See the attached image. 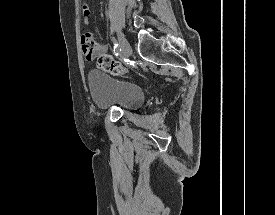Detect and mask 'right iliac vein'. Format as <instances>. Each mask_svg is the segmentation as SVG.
Listing matches in <instances>:
<instances>
[{"label":"right iliac vein","mask_w":275,"mask_h":215,"mask_svg":"<svg viewBox=\"0 0 275 215\" xmlns=\"http://www.w3.org/2000/svg\"><path fill=\"white\" fill-rule=\"evenodd\" d=\"M119 44L122 49L123 55L126 57H129V55L132 52V49H131V46L129 45L128 41L122 34H119Z\"/></svg>","instance_id":"63e3f726"}]
</instances>
